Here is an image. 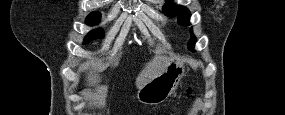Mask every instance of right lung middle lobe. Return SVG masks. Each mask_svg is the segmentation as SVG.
Listing matches in <instances>:
<instances>
[{
    "label": "right lung middle lobe",
    "mask_w": 285,
    "mask_h": 115,
    "mask_svg": "<svg viewBox=\"0 0 285 115\" xmlns=\"http://www.w3.org/2000/svg\"><path fill=\"white\" fill-rule=\"evenodd\" d=\"M100 13L99 12H93L90 13L86 18V23L90 26L96 25L100 21ZM104 33L101 30H92L90 31L87 36L84 38V44L88 43L89 41H92L94 39L103 38Z\"/></svg>",
    "instance_id": "obj_1"
}]
</instances>
